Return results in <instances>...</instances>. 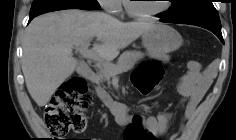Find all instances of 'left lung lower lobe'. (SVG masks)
<instances>
[{
  "mask_svg": "<svg viewBox=\"0 0 236 140\" xmlns=\"http://www.w3.org/2000/svg\"><path fill=\"white\" fill-rule=\"evenodd\" d=\"M161 22H169V23H176V22H170L165 16L161 17ZM180 24H189V25H196L200 26L202 28H205L211 32H213L219 39L220 41L224 44L222 33H221V28H215L207 25H201V24H193V23H180Z\"/></svg>",
  "mask_w": 236,
  "mask_h": 140,
  "instance_id": "1",
  "label": "left lung lower lobe"
}]
</instances>
